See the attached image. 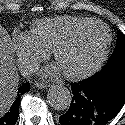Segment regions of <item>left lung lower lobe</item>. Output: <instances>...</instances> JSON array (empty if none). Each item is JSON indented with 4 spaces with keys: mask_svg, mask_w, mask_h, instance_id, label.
Instances as JSON below:
<instances>
[{
    "mask_svg": "<svg viewBox=\"0 0 125 125\" xmlns=\"http://www.w3.org/2000/svg\"><path fill=\"white\" fill-rule=\"evenodd\" d=\"M69 110L61 125H106L125 104V66L71 84Z\"/></svg>",
    "mask_w": 125,
    "mask_h": 125,
    "instance_id": "obj_1",
    "label": "left lung lower lobe"
}]
</instances>
